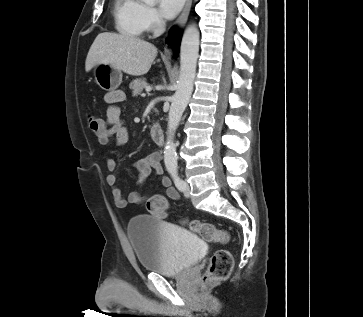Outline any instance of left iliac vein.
Instances as JSON below:
<instances>
[{"label": "left iliac vein", "instance_id": "left-iliac-vein-1", "mask_svg": "<svg viewBox=\"0 0 363 317\" xmlns=\"http://www.w3.org/2000/svg\"><path fill=\"white\" fill-rule=\"evenodd\" d=\"M184 194H185V196H189V194H190V187H189V184L188 183H186L185 182V186H184Z\"/></svg>", "mask_w": 363, "mask_h": 317}]
</instances>
